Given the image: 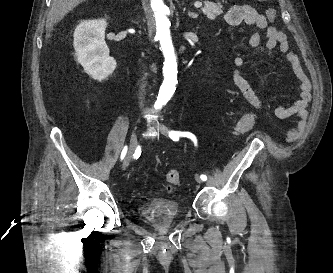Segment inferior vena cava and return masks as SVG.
<instances>
[{
    "label": "inferior vena cava",
    "mask_w": 333,
    "mask_h": 273,
    "mask_svg": "<svg viewBox=\"0 0 333 273\" xmlns=\"http://www.w3.org/2000/svg\"><path fill=\"white\" fill-rule=\"evenodd\" d=\"M146 79V74H145V76L142 78V80L144 81ZM144 88H145V84H142V86H141V89H142V92H144ZM142 92H140V99H142ZM140 104H142V101H141V103Z\"/></svg>",
    "instance_id": "inferior-vena-cava-1"
}]
</instances>
